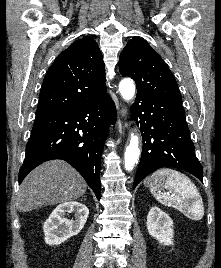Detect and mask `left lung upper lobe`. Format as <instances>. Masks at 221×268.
<instances>
[{
	"label": "left lung upper lobe",
	"mask_w": 221,
	"mask_h": 268,
	"mask_svg": "<svg viewBox=\"0 0 221 268\" xmlns=\"http://www.w3.org/2000/svg\"><path fill=\"white\" fill-rule=\"evenodd\" d=\"M119 70L135 80L138 95L182 102L174 75L145 40L134 37L127 43L119 58Z\"/></svg>",
	"instance_id": "1"
}]
</instances>
